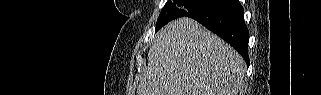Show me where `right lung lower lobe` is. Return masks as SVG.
<instances>
[{"mask_svg": "<svg viewBox=\"0 0 321 95\" xmlns=\"http://www.w3.org/2000/svg\"><path fill=\"white\" fill-rule=\"evenodd\" d=\"M233 46L249 65L248 35L244 9L238 0H212L187 15Z\"/></svg>", "mask_w": 321, "mask_h": 95, "instance_id": "1", "label": "right lung lower lobe"}]
</instances>
